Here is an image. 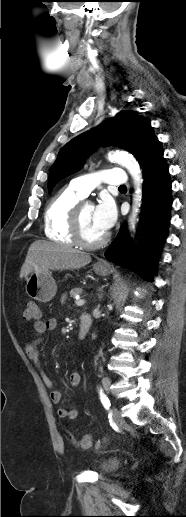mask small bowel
<instances>
[{
    "instance_id": "1",
    "label": "small bowel",
    "mask_w": 186,
    "mask_h": 517,
    "mask_svg": "<svg viewBox=\"0 0 186 517\" xmlns=\"http://www.w3.org/2000/svg\"><path fill=\"white\" fill-rule=\"evenodd\" d=\"M57 327V321L54 318H49L46 320H37L34 323V336L30 339L25 347L27 357L33 361L34 363H38V351L37 345L42 340V335L45 332L53 331ZM42 379L45 386L50 390V397L54 404L58 405L59 408L57 410L58 416L60 418H69L75 419L79 416V410L77 408L67 409L63 405L70 400L64 397L62 390L56 389L53 381L49 376L45 373L42 374ZM81 381V375L79 372L74 371L69 378V382L71 386H78ZM92 445V444H91ZM90 445V446H91ZM89 446V447H90ZM88 447V448H89Z\"/></svg>"
}]
</instances>
